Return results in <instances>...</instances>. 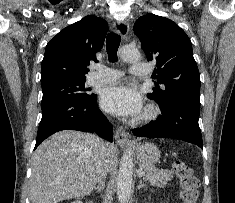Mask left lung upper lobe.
Returning a JSON list of instances; mask_svg holds the SVG:
<instances>
[{
  "label": "left lung upper lobe",
  "mask_w": 235,
  "mask_h": 203,
  "mask_svg": "<svg viewBox=\"0 0 235 203\" xmlns=\"http://www.w3.org/2000/svg\"><path fill=\"white\" fill-rule=\"evenodd\" d=\"M134 32L148 61L156 60L154 78L159 87L148 97L165 107L179 98L200 101V76L186 33L172 20L154 14L139 17Z\"/></svg>",
  "instance_id": "left-lung-upper-lobe-1"
}]
</instances>
